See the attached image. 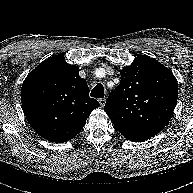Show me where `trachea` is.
I'll return each mask as SVG.
<instances>
[{"instance_id": "trachea-1", "label": "trachea", "mask_w": 193, "mask_h": 193, "mask_svg": "<svg viewBox=\"0 0 193 193\" xmlns=\"http://www.w3.org/2000/svg\"><path fill=\"white\" fill-rule=\"evenodd\" d=\"M91 97L94 98H103L104 97V87L102 84H97L91 91Z\"/></svg>"}]
</instances>
